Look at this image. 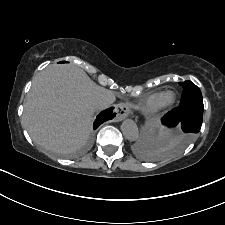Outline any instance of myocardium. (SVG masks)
<instances>
[{
    "mask_svg": "<svg viewBox=\"0 0 225 225\" xmlns=\"http://www.w3.org/2000/svg\"><path fill=\"white\" fill-rule=\"evenodd\" d=\"M176 100V95L173 91L162 92L158 104L154 111H161L171 106Z\"/></svg>",
    "mask_w": 225,
    "mask_h": 225,
    "instance_id": "1",
    "label": "myocardium"
}]
</instances>
